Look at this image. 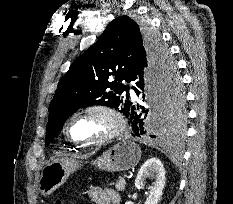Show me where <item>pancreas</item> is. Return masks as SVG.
I'll list each match as a JSON object with an SVG mask.
<instances>
[{"mask_svg":"<svg viewBox=\"0 0 233 204\" xmlns=\"http://www.w3.org/2000/svg\"><path fill=\"white\" fill-rule=\"evenodd\" d=\"M110 185H115V188L117 189V191H124L126 182L125 180L119 179L116 183H111Z\"/></svg>","mask_w":233,"mask_h":204,"instance_id":"obj_1","label":"pancreas"}]
</instances>
